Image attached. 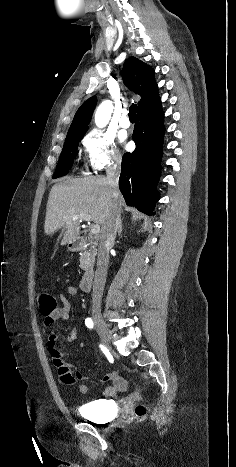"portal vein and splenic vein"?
<instances>
[{"label": "portal vein and splenic vein", "instance_id": "18ae733b", "mask_svg": "<svg viewBox=\"0 0 236 467\" xmlns=\"http://www.w3.org/2000/svg\"><path fill=\"white\" fill-rule=\"evenodd\" d=\"M81 221L82 220H85V221H88L90 222L91 221V217L90 216H84L83 218L80 219ZM100 232V225H94L92 228H91V233L92 234H98Z\"/></svg>", "mask_w": 236, "mask_h": 467}]
</instances>
